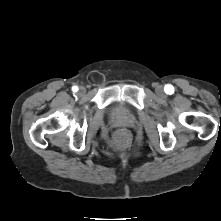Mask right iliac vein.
<instances>
[{
  "label": "right iliac vein",
  "instance_id": "obj_1",
  "mask_svg": "<svg viewBox=\"0 0 221 221\" xmlns=\"http://www.w3.org/2000/svg\"><path fill=\"white\" fill-rule=\"evenodd\" d=\"M80 95H83L85 93V88L81 87L79 89V92H78Z\"/></svg>",
  "mask_w": 221,
  "mask_h": 221
}]
</instances>
